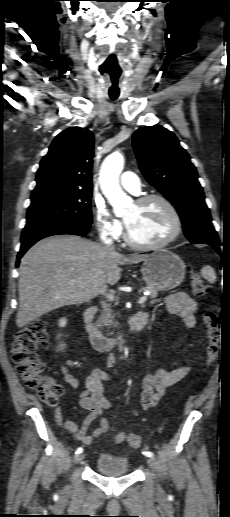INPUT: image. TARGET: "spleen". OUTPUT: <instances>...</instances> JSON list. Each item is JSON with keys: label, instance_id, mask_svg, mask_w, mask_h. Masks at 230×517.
I'll use <instances>...</instances> for the list:
<instances>
[{"label": "spleen", "instance_id": "3e777b00", "mask_svg": "<svg viewBox=\"0 0 230 517\" xmlns=\"http://www.w3.org/2000/svg\"><path fill=\"white\" fill-rule=\"evenodd\" d=\"M201 274L203 278L210 283H214L216 281V273L214 269L209 265H206L202 268Z\"/></svg>", "mask_w": 230, "mask_h": 517}]
</instances>
